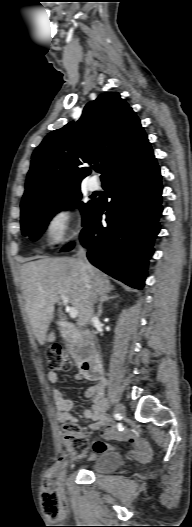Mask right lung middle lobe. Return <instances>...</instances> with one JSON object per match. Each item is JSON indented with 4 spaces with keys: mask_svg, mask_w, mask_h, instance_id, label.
Listing matches in <instances>:
<instances>
[{
    "mask_svg": "<svg viewBox=\"0 0 192 527\" xmlns=\"http://www.w3.org/2000/svg\"><path fill=\"white\" fill-rule=\"evenodd\" d=\"M81 198L80 188L67 191L50 200L21 206V228L24 235L36 240L45 230L51 217L62 209L70 208L76 204L81 210L83 221L88 214L93 201L88 203L79 202Z\"/></svg>",
    "mask_w": 192,
    "mask_h": 527,
    "instance_id": "dd1d6c3e",
    "label": "right lung middle lobe"
}]
</instances>
